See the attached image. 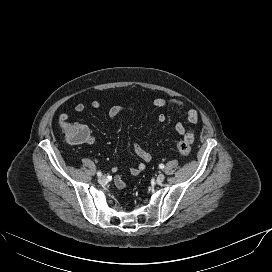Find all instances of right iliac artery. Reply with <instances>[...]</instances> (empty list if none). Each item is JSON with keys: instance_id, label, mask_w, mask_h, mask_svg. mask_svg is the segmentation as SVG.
<instances>
[{"instance_id": "obj_1", "label": "right iliac artery", "mask_w": 272, "mask_h": 272, "mask_svg": "<svg viewBox=\"0 0 272 272\" xmlns=\"http://www.w3.org/2000/svg\"><path fill=\"white\" fill-rule=\"evenodd\" d=\"M98 176H102V173L100 171L97 172Z\"/></svg>"}]
</instances>
